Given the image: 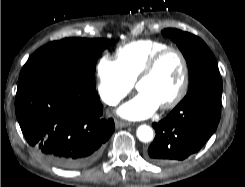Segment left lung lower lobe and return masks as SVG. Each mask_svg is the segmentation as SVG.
Returning <instances> with one entry per match:
<instances>
[{"instance_id":"left-lung-lower-lobe-1","label":"left lung lower lobe","mask_w":245,"mask_h":187,"mask_svg":"<svg viewBox=\"0 0 245 187\" xmlns=\"http://www.w3.org/2000/svg\"><path fill=\"white\" fill-rule=\"evenodd\" d=\"M221 93L220 78L205 82L188 91L166 118L153 123L156 136L148 148V160L173 164L198 152L217 129Z\"/></svg>"}]
</instances>
